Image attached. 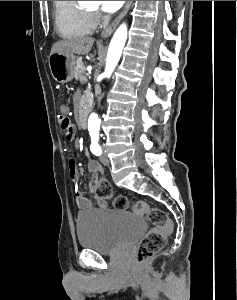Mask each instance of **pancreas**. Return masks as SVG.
Masks as SVG:
<instances>
[{
    "mask_svg": "<svg viewBox=\"0 0 237 300\" xmlns=\"http://www.w3.org/2000/svg\"><path fill=\"white\" fill-rule=\"evenodd\" d=\"M83 69H79V67H74V77L77 81V79H80L81 77H83ZM87 79L85 81L80 79V83H82V85H84V83H86Z\"/></svg>",
    "mask_w": 237,
    "mask_h": 300,
    "instance_id": "1",
    "label": "pancreas"
}]
</instances>
